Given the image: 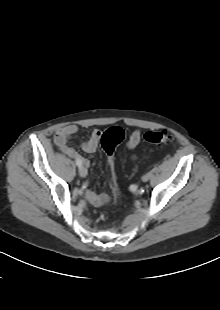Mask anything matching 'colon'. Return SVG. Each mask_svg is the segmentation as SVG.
I'll use <instances>...</instances> for the list:
<instances>
[{"instance_id": "obj_1", "label": "colon", "mask_w": 220, "mask_h": 310, "mask_svg": "<svg viewBox=\"0 0 220 310\" xmlns=\"http://www.w3.org/2000/svg\"><path fill=\"white\" fill-rule=\"evenodd\" d=\"M125 138L124 130L120 127H111L100 135V145L106 155L110 183L115 195L118 194V186L116 182L114 151L118 144ZM146 142L156 145L166 144L170 142L171 136L168 131H148L144 135Z\"/></svg>"}]
</instances>
